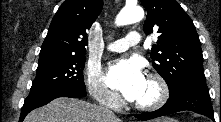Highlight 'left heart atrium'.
<instances>
[{"label":"left heart atrium","instance_id":"left-heart-atrium-1","mask_svg":"<svg viewBox=\"0 0 221 122\" xmlns=\"http://www.w3.org/2000/svg\"><path fill=\"white\" fill-rule=\"evenodd\" d=\"M146 81L141 63L134 58L120 59L107 70L108 86L119 91L129 101H136L140 97Z\"/></svg>","mask_w":221,"mask_h":122}]
</instances>
